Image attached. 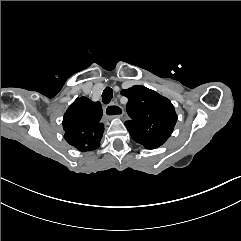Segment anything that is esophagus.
Listing matches in <instances>:
<instances>
[{"label":"esophagus","instance_id":"1","mask_svg":"<svg viewBox=\"0 0 241 241\" xmlns=\"http://www.w3.org/2000/svg\"><path fill=\"white\" fill-rule=\"evenodd\" d=\"M123 108L115 103V102H111L109 103L105 108H104V115L110 119V118H114V117H121L123 115Z\"/></svg>","mask_w":241,"mask_h":241}]
</instances>
